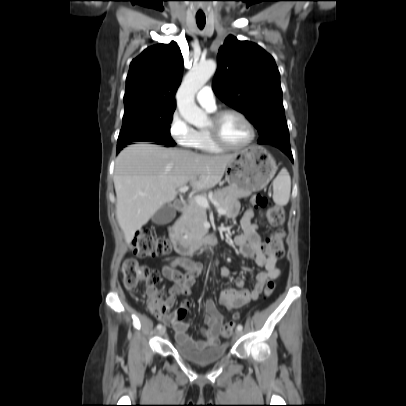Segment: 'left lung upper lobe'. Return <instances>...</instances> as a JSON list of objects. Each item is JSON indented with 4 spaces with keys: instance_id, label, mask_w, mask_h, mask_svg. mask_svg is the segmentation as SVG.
Instances as JSON below:
<instances>
[{
    "instance_id": "5c2ea615",
    "label": "left lung upper lobe",
    "mask_w": 406,
    "mask_h": 406,
    "mask_svg": "<svg viewBox=\"0 0 406 406\" xmlns=\"http://www.w3.org/2000/svg\"><path fill=\"white\" fill-rule=\"evenodd\" d=\"M217 58L215 94L257 128L258 142L290 144L280 74L273 57L257 44L230 35Z\"/></svg>"
}]
</instances>
